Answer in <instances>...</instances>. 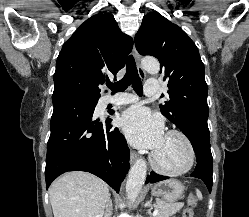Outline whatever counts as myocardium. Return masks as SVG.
<instances>
[{"label":"myocardium","mask_w":249,"mask_h":217,"mask_svg":"<svg viewBox=\"0 0 249 217\" xmlns=\"http://www.w3.org/2000/svg\"><path fill=\"white\" fill-rule=\"evenodd\" d=\"M165 136H176L184 143L187 149V152H188L187 161L184 166L177 168V169L165 168L157 161L155 152L153 151L149 156V161H150L151 166L157 172L163 175H167V176H179V175L187 173L193 167L195 163V159H196L195 148L191 140L184 132L177 130V129H171L167 131Z\"/></svg>","instance_id":"1"}]
</instances>
